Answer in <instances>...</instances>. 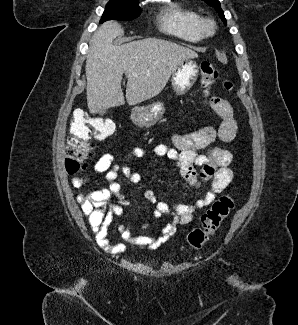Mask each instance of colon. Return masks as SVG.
<instances>
[{
	"instance_id": "obj_1",
	"label": "colon",
	"mask_w": 298,
	"mask_h": 325,
	"mask_svg": "<svg viewBox=\"0 0 298 325\" xmlns=\"http://www.w3.org/2000/svg\"><path fill=\"white\" fill-rule=\"evenodd\" d=\"M202 86L208 89L220 79L214 64L204 61L200 64ZM227 90H232L230 81L224 82ZM115 124L107 118L95 117L86 111L73 113L69 122L65 168L73 175L85 168L86 160L91 155L94 141H101L112 135ZM234 207V200L229 195H223L213 202L211 207L201 216V226L193 229L188 235L189 246L199 249L217 232L224 219Z\"/></svg>"
}]
</instances>
